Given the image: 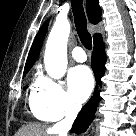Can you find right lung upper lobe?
I'll list each match as a JSON object with an SVG mask.
<instances>
[{
	"instance_id": "1",
	"label": "right lung upper lobe",
	"mask_w": 136,
	"mask_h": 136,
	"mask_svg": "<svg viewBox=\"0 0 136 136\" xmlns=\"http://www.w3.org/2000/svg\"><path fill=\"white\" fill-rule=\"evenodd\" d=\"M86 9H87L89 21L91 23L97 24L98 22L101 21L102 19L101 8L99 6L98 0H87ZM47 26H48V22L44 23L35 37V40L32 44V47L30 49V52L27 58L24 73L28 72V70L32 67V65L34 64V62L39 56L40 49L42 47V42L44 40L45 33L47 30ZM99 37H101V35L99 33H96L93 36V40L95 41Z\"/></svg>"
}]
</instances>
